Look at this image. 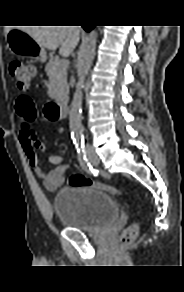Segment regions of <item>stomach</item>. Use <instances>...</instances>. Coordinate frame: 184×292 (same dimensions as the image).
<instances>
[{"label": "stomach", "mask_w": 184, "mask_h": 292, "mask_svg": "<svg viewBox=\"0 0 184 292\" xmlns=\"http://www.w3.org/2000/svg\"><path fill=\"white\" fill-rule=\"evenodd\" d=\"M10 52L18 56H28L41 62L47 59L45 49L28 33L20 29H12L6 36Z\"/></svg>", "instance_id": "stomach-1"}]
</instances>
